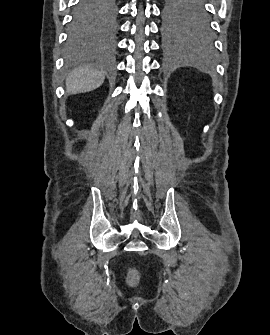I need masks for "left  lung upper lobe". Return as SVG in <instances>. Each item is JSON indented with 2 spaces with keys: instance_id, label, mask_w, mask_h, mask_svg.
Segmentation results:
<instances>
[{
  "instance_id": "left-lung-upper-lobe-1",
  "label": "left lung upper lobe",
  "mask_w": 270,
  "mask_h": 335,
  "mask_svg": "<svg viewBox=\"0 0 270 335\" xmlns=\"http://www.w3.org/2000/svg\"><path fill=\"white\" fill-rule=\"evenodd\" d=\"M163 20L167 33L207 31L209 17L205 0H164Z\"/></svg>"
}]
</instances>
